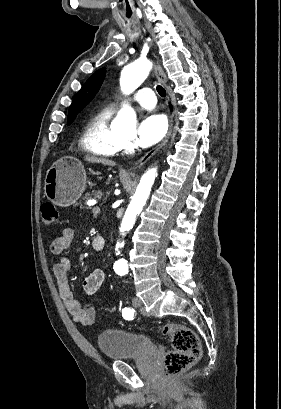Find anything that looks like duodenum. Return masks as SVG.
Returning a JSON list of instances; mask_svg holds the SVG:
<instances>
[{
  "instance_id": "410a0bca",
  "label": "duodenum",
  "mask_w": 281,
  "mask_h": 409,
  "mask_svg": "<svg viewBox=\"0 0 281 409\" xmlns=\"http://www.w3.org/2000/svg\"><path fill=\"white\" fill-rule=\"evenodd\" d=\"M102 237L101 236H97L94 238L93 240V248L96 251H99L102 249Z\"/></svg>"
}]
</instances>
